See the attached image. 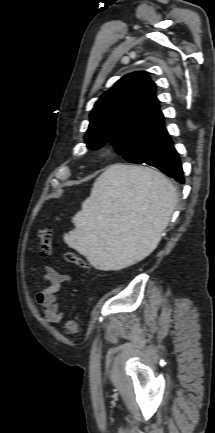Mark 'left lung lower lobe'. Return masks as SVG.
<instances>
[{"label": "left lung lower lobe", "instance_id": "0a47b994", "mask_svg": "<svg viewBox=\"0 0 215 433\" xmlns=\"http://www.w3.org/2000/svg\"><path fill=\"white\" fill-rule=\"evenodd\" d=\"M156 168L169 177L174 178L179 183H184L183 169L180 163L179 154L174 148L173 141L170 139L169 134L166 137L161 158Z\"/></svg>", "mask_w": 215, "mask_h": 433}]
</instances>
